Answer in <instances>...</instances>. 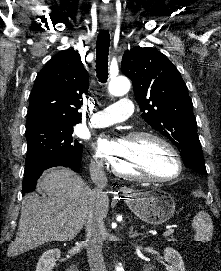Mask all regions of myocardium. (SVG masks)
<instances>
[{
  "mask_svg": "<svg viewBox=\"0 0 221 271\" xmlns=\"http://www.w3.org/2000/svg\"><path fill=\"white\" fill-rule=\"evenodd\" d=\"M167 140L171 139L153 130L143 133H129V137H126V142H133L132 145H138L139 142H155V145H159L161 150H168V157L171 159H168L167 162L172 164V169L175 170L173 173L165 176L152 175V177L145 175V173H122V170H119V163L112 158L109 160L108 170L113 171V175L120 176V179L147 178V183H168V178H178L184 170H180L181 166L178 165L177 156L179 153L177 150H173V145Z\"/></svg>",
  "mask_w": 221,
  "mask_h": 271,
  "instance_id": "myocardium-1",
  "label": "myocardium"
}]
</instances>
